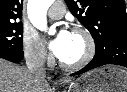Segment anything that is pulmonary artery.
Instances as JSON below:
<instances>
[{"instance_id":"1","label":"pulmonary artery","mask_w":127,"mask_h":92,"mask_svg":"<svg viewBox=\"0 0 127 92\" xmlns=\"http://www.w3.org/2000/svg\"><path fill=\"white\" fill-rule=\"evenodd\" d=\"M65 13L64 4L61 1H53L48 10V16L53 19H59L63 17Z\"/></svg>"}]
</instances>
